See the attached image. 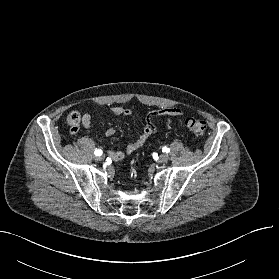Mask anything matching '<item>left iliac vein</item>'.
Listing matches in <instances>:
<instances>
[{
  "instance_id": "4c4485c4",
  "label": "left iliac vein",
  "mask_w": 279,
  "mask_h": 279,
  "mask_svg": "<svg viewBox=\"0 0 279 279\" xmlns=\"http://www.w3.org/2000/svg\"><path fill=\"white\" fill-rule=\"evenodd\" d=\"M169 160V157L167 154H160L159 155V162L166 163Z\"/></svg>"
}]
</instances>
